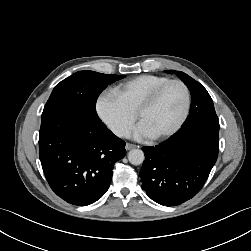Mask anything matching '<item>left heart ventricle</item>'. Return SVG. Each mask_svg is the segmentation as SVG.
Masks as SVG:
<instances>
[{
  "instance_id": "1",
  "label": "left heart ventricle",
  "mask_w": 251,
  "mask_h": 251,
  "mask_svg": "<svg viewBox=\"0 0 251 251\" xmlns=\"http://www.w3.org/2000/svg\"><path fill=\"white\" fill-rule=\"evenodd\" d=\"M185 104V93L178 84L168 86L153 107L140 118L152 136L169 130L179 119Z\"/></svg>"
}]
</instances>
